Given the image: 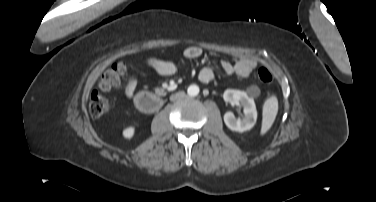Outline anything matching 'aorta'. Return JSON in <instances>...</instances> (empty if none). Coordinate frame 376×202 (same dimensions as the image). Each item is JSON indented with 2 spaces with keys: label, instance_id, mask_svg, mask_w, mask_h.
Wrapping results in <instances>:
<instances>
[{
  "label": "aorta",
  "instance_id": "1",
  "mask_svg": "<svg viewBox=\"0 0 376 202\" xmlns=\"http://www.w3.org/2000/svg\"><path fill=\"white\" fill-rule=\"evenodd\" d=\"M189 96H197L199 94V87L195 84L190 85L187 89Z\"/></svg>",
  "mask_w": 376,
  "mask_h": 202
}]
</instances>
